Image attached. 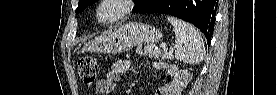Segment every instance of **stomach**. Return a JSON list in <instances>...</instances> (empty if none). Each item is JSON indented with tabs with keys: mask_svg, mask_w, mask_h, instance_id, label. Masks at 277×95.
I'll return each mask as SVG.
<instances>
[{
	"mask_svg": "<svg viewBox=\"0 0 277 95\" xmlns=\"http://www.w3.org/2000/svg\"><path fill=\"white\" fill-rule=\"evenodd\" d=\"M162 38L159 29L140 23H127L109 30L83 46L84 52L115 54L142 44H154Z\"/></svg>",
	"mask_w": 277,
	"mask_h": 95,
	"instance_id": "stomach-1",
	"label": "stomach"
}]
</instances>
